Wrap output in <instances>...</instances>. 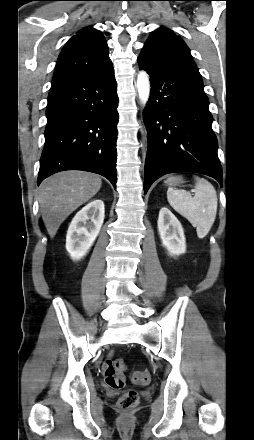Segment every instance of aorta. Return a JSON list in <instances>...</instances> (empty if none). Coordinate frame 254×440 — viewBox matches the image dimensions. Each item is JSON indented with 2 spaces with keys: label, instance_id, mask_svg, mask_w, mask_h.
<instances>
[{
  "label": "aorta",
  "instance_id": "762f6f07",
  "mask_svg": "<svg viewBox=\"0 0 254 440\" xmlns=\"http://www.w3.org/2000/svg\"><path fill=\"white\" fill-rule=\"evenodd\" d=\"M137 89L142 104H146L150 95V84L146 72L141 71L137 78Z\"/></svg>",
  "mask_w": 254,
  "mask_h": 440
}]
</instances>
